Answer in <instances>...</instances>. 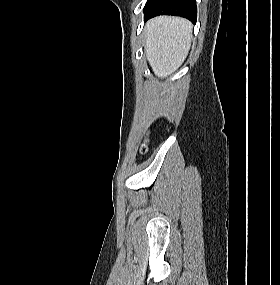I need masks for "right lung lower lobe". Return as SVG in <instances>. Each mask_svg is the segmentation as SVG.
<instances>
[{
    "mask_svg": "<svg viewBox=\"0 0 280 285\" xmlns=\"http://www.w3.org/2000/svg\"><path fill=\"white\" fill-rule=\"evenodd\" d=\"M144 14L145 20L158 15H175L196 23V0H147Z\"/></svg>",
    "mask_w": 280,
    "mask_h": 285,
    "instance_id": "98d812e1",
    "label": "right lung lower lobe"
}]
</instances>
